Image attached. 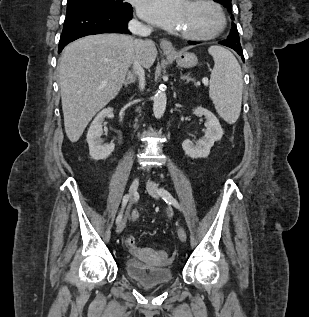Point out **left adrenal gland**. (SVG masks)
<instances>
[{
    "mask_svg": "<svg viewBox=\"0 0 309 317\" xmlns=\"http://www.w3.org/2000/svg\"><path fill=\"white\" fill-rule=\"evenodd\" d=\"M180 79L186 81V83H189L190 81H193V80L191 79V77L186 76V75H182V76L180 77Z\"/></svg>",
    "mask_w": 309,
    "mask_h": 317,
    "instance_id": "1",
    "label": "left adrenal gland"
}]
</instances>
